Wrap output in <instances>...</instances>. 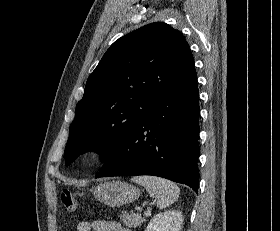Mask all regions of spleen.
<instances>
[{
	"mask_svg": "<svg viewBox=\"0 0 280 231\" xmlns=\"http://www.w3.org/2000/svg\"><path fill=\"white\" fill-rule=\"evenodd\" d=\"M132 181H136V183L144 185L148 189L150 195L155 197L159 209L168 207L179 197L180 189L178 185L169 181V179L156 177V175H136V177H132Z\"/></svg>",
	"mask_w": 280,
	"mask_h": 231,
	"instance_id": "spleen-1",
	"label": "spleen"
}]
</instances>
